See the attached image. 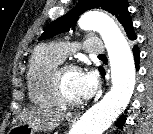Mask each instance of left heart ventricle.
<instances>
[{
    "label": "left heart ventricle",
    "mask_w": 153,
    "mask_h": 134,
    "mask_svg": "<svg viewBox=\"0 0 153 134\" xmlns=\"http://www.w3.org/2000/svg\"><path fill=\"white\" fill-rule=\"evenodd\" d=\"M62 87L67 98L72 100H82L80 93V72L65 70L62 73Z\"/></svg>",
    "instance_id": "obj_1"
}]
</instances>
